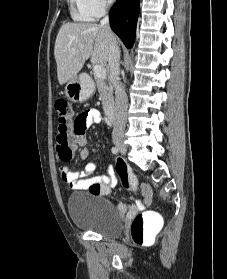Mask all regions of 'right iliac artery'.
<instances>
[{"instance_id":"obj_1","label":"right iliac artery","mask_w":227,"mask_h":279,"mask_svg":"<svg viewBox=\"0 0 227 279\" xmlns=\"http://www.w3.org/2000/svg\"><path fill=\"white\" fill-rule=\"evenodd\" d=\"M111 150H112L113 154H117L119 152L118 148H116V147H112Z\"/></svg>"}]
</instances>
